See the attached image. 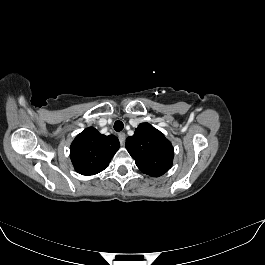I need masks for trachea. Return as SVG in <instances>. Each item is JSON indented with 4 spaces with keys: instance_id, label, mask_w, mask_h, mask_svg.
Masks as SVG:
<instances>
[{
    "instance_id": "trachea-1",
    "label": "trachea",
    "mask_w": 265,
    "mask_h": 265,
    "mask_svg": "<svg viewBox=\"0 0 265 265\" xmlns=\"http://www.w3.org/2000/svg\"><path fill=\"white\" fill-rule=\"evenodd\" d=\"M123 128H124V124H123L122 121H116L114 123V129H115V131L120 132V131L123 130Z\"/></svg>"
}]
</instances>
